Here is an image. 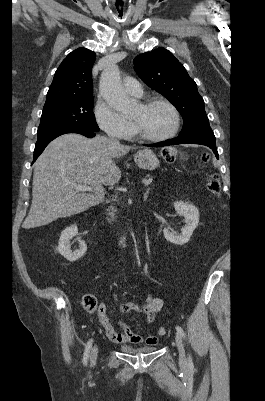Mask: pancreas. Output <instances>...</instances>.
Returning <instances> with one entry per match:
<instances>
[{"instance_id": "obj_1", "label": "pancreas", "mask_w": 265, "mask_h": 401, "mask_svg": "<svg viewBox=\"0 0 265 401\" xmlns=\"http://www.w3.org/2000/svg\"><path fill=\"white\" fill-rule=\"evenodd\" d=\"M147 176H149V174H147ZM108 211H110V213H108V215H110L111 219H108L109 223H111V221H113V219H115L114 217V213H116V209H114V207H110V209H108Z\"/></svg>"}]
</instances>
